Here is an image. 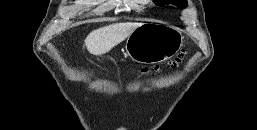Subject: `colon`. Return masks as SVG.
Returning <instances> with one entry per match:
<instances>
[{
  "label": "colon",
  "mask_w": 257,
  "mask_h": 130,
  "mask_svg": "<svg viewBox=\"0 0 257 130\" xmlns=\"http://www.w3.org/2000/svg\"><path fill=\"white\" fill-rule=\"evenodd\" d=\"M184 53H181L174 61L169 63V67L173 68L176 67L183 59ZM158 68H154V70H157ZM144 73H147L149 70L148 69H142L141 70Z\"/></svg>",
  "instance_id": "5ec220e1"
}]
</instances>
